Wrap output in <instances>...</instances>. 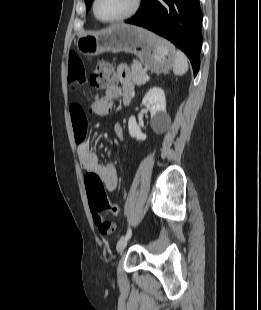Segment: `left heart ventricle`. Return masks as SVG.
<instances>
[{"label": "left heart ventricle", "instance_id": "1", "mask_svg": "<svg viewBox=\"0 0 261 310\" xmlns=\"http://www.w3.org/2000/svg\"><path fill=\"white\" fill-rule=\"evenodd\" d=\"M133 0H98L97 13L104 19H112L127 13Z\"/></svg>", "mask_w": 261, "mask_h": 310}]
</instances>
